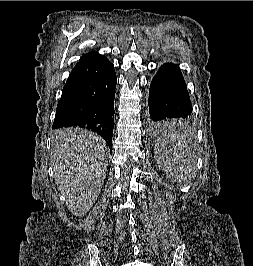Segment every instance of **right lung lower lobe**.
I'll use <instances>...</instances> for the list:
<instances>
[{
  "mask_svg": "<svg viewBox=\"0 0 253 266\" xmlns=\"http://www.w3.org/2000/svg\"><path fill=\"white\" fill-rule=\"evenodd\" d=\"M117 77L113 64L92 51L73 68L56 109L53 129L83 127L101 135L110 150Z\"/></svg>",
  "mask_w": 253,
  "mask_h": 266,
  "instance_id": "right-lung-lower-lobe-1",
  "label": "right lung lower lobe"
}]
</instances>
